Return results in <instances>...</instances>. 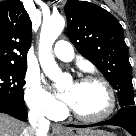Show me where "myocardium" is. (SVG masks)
Wrapping results in <instances>:
<instances>
[{"label": "myocardium", "mask_w": 136, "mask_h": 136, "mask_svg": "<svg viewBox=\"0 0 136 136\" xmlns=\"http://www.w3.org/2000/svg\"><path fill=\"white\" fill-rule=\"evenodd\" d=\"M89 81L98 82L101 85H103V87L105 88L109 100L106 110L103 113L96 116H84L79 114L72 107H70V113L79 121L86 123H96L107 119L114 112L116 108V94L110 82L100 75L88 74L80 79V82H89Z\"/></svg>", "instance_id": "f54148a6"}]
</instances>
